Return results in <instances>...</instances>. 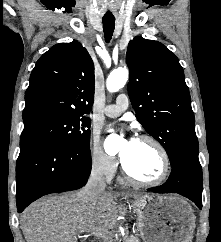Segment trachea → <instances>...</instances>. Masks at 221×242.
<instances>
[{
	"mask_svg": "<svg viewBox=\"0 0 221 242\" xmlns=\"http://www.w3.org/2000/svg\"><path fill=\"white\" fill-rule=\"evenodd\" d=\"M103 31H104V37L105 41L109 42L112 38L113 31L115 28V19L114 18H103Z\"/></svg>",
	"mask_w": 221,
	"mask_h": 242,
	"instance_id": "1",
	"label": "trachea"
}]
</instances>
